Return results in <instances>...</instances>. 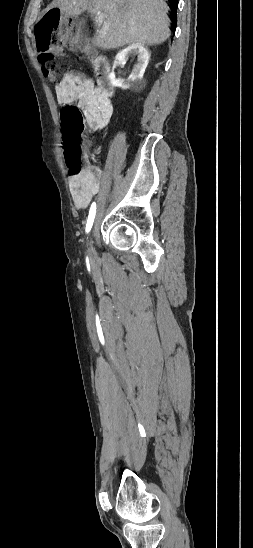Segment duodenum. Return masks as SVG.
Wrapping results in <instances>:
<instances>
[{
    "mask_svg": "<svg viewBox=\"0 0 253 548\" xmlns=\"http://www.w3.org/2000/svg\"><path fill=\"white\" fill-rule=\"evenodd\" d=\"M94 71L99 89L106 96L112 95L114 88L111 82V68L108 59L104 56H98L94 61Z\"/></svg>",
    "mask_w": 253,
    "mask_h": 548,
    "instance_id": "duodenum-1",
    "label": "duodenum"
}]
</instances>
